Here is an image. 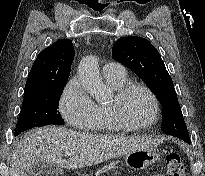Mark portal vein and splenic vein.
I'll return each mask as SVG.
<instances>
[{"label":"portal vein and splenic vein","mask_w":205,"mask_h":176,"mask_svg":"<svg viewBox=\"0 0 205 176\" xmlns=\"http://www.w3.org/2000/svg\"><path fill=\"white\" fill-rule=\"evenodd\" d=\"M73 153L72 152H66L65 155L66 156H71Z\"/></svg>","instance_id":"obj_1"}]
</instances>
